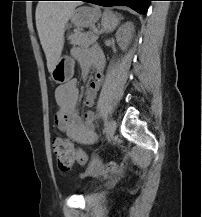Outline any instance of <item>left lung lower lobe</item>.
I'll list each match as a JSON object with an SVG mask.
<instances>
[{
    "label": "left lung lower lobe",
    "mask_w": 202,
    "mask_h": 217,
    "mask_svg": "<svg viewBox=\"0 0 202 217\" xmlns=\"http://www.w3.org/2000/svg\"><path fill=\"white\" fill-rule=\"evenodd\" d=\"M101 6H116L123 5L130 7L138 13H145L149 7V2L152 0H80Z\"/></svg>",
    "instance_id": "left-lung-lower-lobe-1"
}]
</instances>
